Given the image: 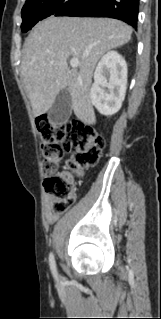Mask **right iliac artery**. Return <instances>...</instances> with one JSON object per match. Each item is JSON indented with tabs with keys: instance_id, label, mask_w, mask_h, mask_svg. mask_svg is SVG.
Instances as JSON below:
<instances>
[{
	"instance_id": "1",
	"label": "right iliac artery",
	"mask_w": 161,
	"mask_h": 319,
	"mask_svg": "<svg viewBox=\"0 0 161 319\" xmlns=\"http://www.w3.org/2000/svg\"><path fill=\"white\" fill-rule=\"evenodd\" d=\"M49 264H50V269H51V272H52L54 278L58 279L56 263H55L54 255L52 252L49 255Z\"/></svg>"
}]
</instances>
